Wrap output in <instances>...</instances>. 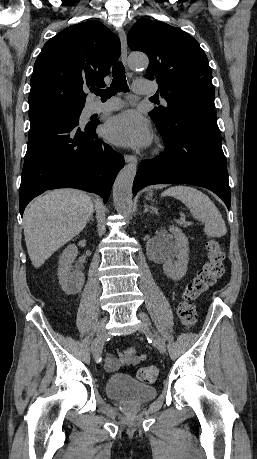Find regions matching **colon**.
I'll list each match as a JSON object with an SVG mask.
<instances>
[{
  "label": "colon",
  "mask_w": 257,
  "mask_h": 459,
  "mask_svg": "<svg viewBox=\"0 0 257 459\" xmlns=\"http://www.w3.org/2000/svg\"><path fill=\"white\" fill-rule=\"evenodd\" d=\"M207 261L197 276L187 284L177 307V314L186 329L194 327L197 322V312L194 301L224 273V251L216 239H209L206 243ZM158 375L155 367H144L138 370L137 376L145 382H152Z\"/></svg>",
  "instance_id": "colon-1"
}]
</instances>
